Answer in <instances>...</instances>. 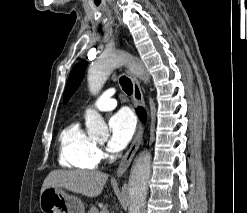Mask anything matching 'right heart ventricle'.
<instances>
[{
  "label": "right heart ventricle",
  "mask_w": 247,
  "mask_h": 213,
  "mask_svg": "<svg viewBox=\"0 0 247 213\" xmlns=\"http://www.w3.org/2000/svg\"><path fill=\"white\" fill-rule=\"evenodd\" d=\"M59 163L66 168L94 170L99 158L95 143L79 122L67 125L59 135Z\"/></svg>",
  "instance_id": "e07e8e85"
}]
</instances>
